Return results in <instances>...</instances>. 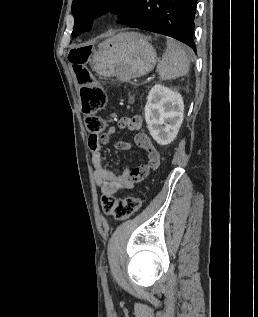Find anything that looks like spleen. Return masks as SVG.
Instances as JSON below:
<instances>
[{
    "label": "spleen",
    "instance_id": "3e777b00",
    "mask_svg": "<svg viewBox=\"0 0 258 317\" xmlns=\"http://www.w3.org/2000/svg\"><path fill=\"white\" fill-rule=\"evenodd\" d=\"M192 56L191 48H184L173 38H168L166 52L157 66L161 80H169V78H177V76L187 74Z\"/></svg>",
    "mask_w": 258,
    "mask_h": 317
}]
</instances>
